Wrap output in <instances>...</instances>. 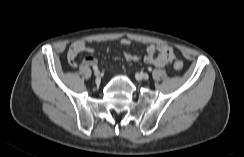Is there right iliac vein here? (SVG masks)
Listing matches in <instances>:
<instances>
[{
  "instance_id": "1",
  "label": "right iliac vein",
  "mask_w": 244,
  "mask_h": 157,
  "mask_svg": "<svg viewBox=\"0 0 244 157\" xmlns=\"http://www.w3.org/2000/svg\"><path fill=\"white\" fill-rule=\"evenodd\" d=\"M94 75H95L96 78H99L100 77V72L97 70V71L94 72Z\"/></svg>"
}]
</instances>
